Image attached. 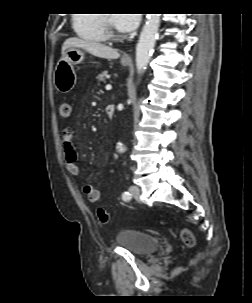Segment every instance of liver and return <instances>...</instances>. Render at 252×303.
Instances as JSON below:
<instances>
[{
	"instance_id": "obj_1",
	"label": "liver",
	"mask_w": 252,
	"mask_h": 303,
	"mask_svg": "<svg viewBox=\"0 0 252 303\" xmlns=\"http://www.w3.org/2000/svg\"><path fill=\"white\" fill-rule=\"evenodd\" d=\"M69 47L82 48L92 55L104 59H117L120 56L117 49H113L99 42L87 41L77 37L66 39L62 46V55Z\"/></svg>"
}]
</instances>
